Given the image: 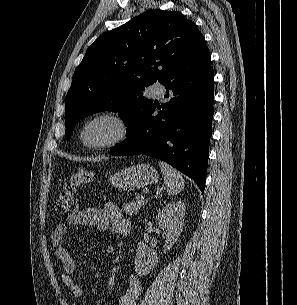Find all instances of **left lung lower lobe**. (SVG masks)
<instances>
[{
  "instance_id": "1",
  "label": "left lung lower lobe",
  "mask_w": 297,
  "mask_h": 305,
  "mask_svg": "<svg viewBox=\"0 0 297 305\" xmlns=\"http://www.w3.org/2000/svg\"><path fill=\"white\" fill-rule=\"evenodd\" d=\"M213 68L173 74L162 84L169 102H151L111 155L145 154L166 161L204 191L213 119ZM158 109L159 114L153 116Z\"/></svg>"
}]
</instances>
